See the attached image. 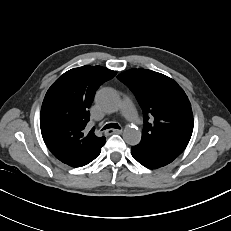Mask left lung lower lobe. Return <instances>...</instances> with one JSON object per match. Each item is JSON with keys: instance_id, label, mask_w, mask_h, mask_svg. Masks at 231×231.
<instances>
[{"instance_id": "0a47b994", "label": "left lung lower lobe", "mask_w": 231, "mask_h": 231, "mask_svg": "<svg viewBox=\"0 0 231 231\" xmlns=\"http://www.w3.org/2000/svg\"><path fill=\"white\" fill-rule=\"evenodd\" d=\"M132 156L148 169H157L171 163L179 153L154 144L139 143L131 149Z\"/></svg>"}]
</instances>
